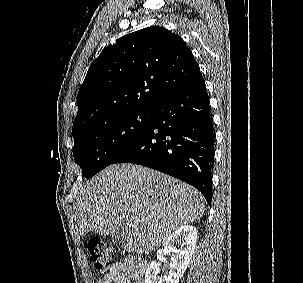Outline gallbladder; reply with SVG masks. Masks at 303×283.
I'll return each instance as SVG.
<instances>
[{"instance_id": "obj_1", "label": "gallbladder", "mask_w": 303, "mask_h": 283, "mask_svg": "<svg viewBox=\"0 0 303 283\" xmlns=\"http://www.w3.org/2000/svg\"><path fill=\"white\" fill-rule=\"evenodd\" d=\"M124 236V229L121 227L119 230L116 231V233L114 235H112V240L115 243H119Z\"/></svg>"}]
</instances>
